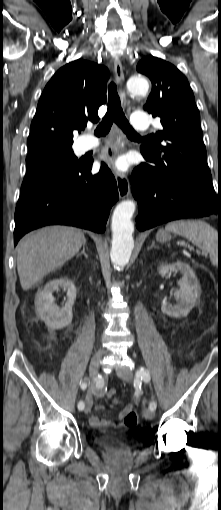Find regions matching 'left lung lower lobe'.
Wrapping results in <instances>:
<instances>
[{
  "label": "left lung lower lobe",
  "instance_id": "0a47b994",
  "mask_svg": "<svg viewBox=\"0 0 221 510\" xmlns=\"http://www.w3.org/2000/svg\"><path fill=\"white\" fill-rule=\"evenodd\" d=\"M132 176V194L139 205L136 227L140 231L172 220L219 215L221 192L212 182L193 178L165 180L157 175L147 157Z\"/></svg>",
  "mask_w": 221,
  "mask_h": 510
}]
</instances>
